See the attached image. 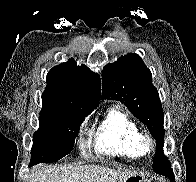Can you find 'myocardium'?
Here are the masks:
<instances>
[{
  "label": "myocardium",
  "mask_w": 196,
  "mask_h": 182,
  "mask_svg": "<svg viewBox=\"0 0 196 182\" xmlns=\"http://www.w3.org/2000/svg\"><path fill=\"white\" fill-rule=\"evenodd\" d=\"M139 144L144 152L151 151L155 146L153 138L148 134L140 135Z\"/></svg>",
  "instance_id": "myocardium-1"
}]
</instances>
